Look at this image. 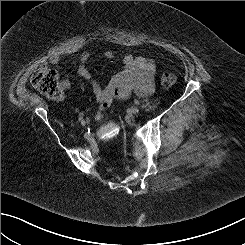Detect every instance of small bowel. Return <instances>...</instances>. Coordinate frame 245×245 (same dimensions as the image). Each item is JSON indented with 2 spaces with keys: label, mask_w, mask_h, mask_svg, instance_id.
Here are the masks:
<instances>
[{
  "label": "small bowel",
  "mask_w": 245,
  "mask_h": 245,
  "mask_svg": "<svg viewBox=\"0 0 245 245\" xmlns=\"http://www.w3.org/2000/svg\"><path fill=\"white\" fill-rule=\"evenodd\" d=\"M106 57L110 58V55ZM90 54L85 52L81 55V65L78 68L80 77L88 81L92 86L93 94L99 103L95 118L100 120L114 99H125L132 94L141 97L150 95L155 87V66L152 60L145 57H133L126 55L123 59V68L116 73L107 86L102 87L91 75L85 63ZM59 56L50 59L52 64L59 62ZM64 91L71 88L69 80L61 82Z\"/></svg>",
  "instance_id": "1"
}]
</instances>
